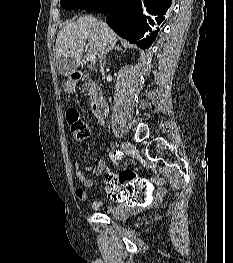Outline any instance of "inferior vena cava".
Listing matches in <instances>:
<instances>
[{
  "mask_svg": "<svg viewBox=\"0 0 233 263\" xmlns=\"http://www.w3.org/2000/svg\"><path fill=\"white\" fill-rule=\"evenodd\" d=\"M105 47H106V44L103 45L99 55H98V59H99V64H100V69L101 71L103 70V66H104V54H105Z\"/></svg>",
  "mask_w": 233,
  "mask_h": 263,
  "instance_id": "602c4592",
  "label": "inferior vena cava"
}]
</instances>
